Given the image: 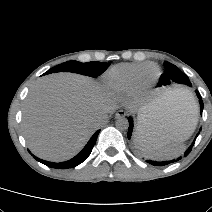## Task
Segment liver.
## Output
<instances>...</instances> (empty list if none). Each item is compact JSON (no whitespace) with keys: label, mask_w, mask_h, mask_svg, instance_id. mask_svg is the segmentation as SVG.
<instances>
[{"label":"liver","mask_w":212,"mask_h":212,"mask_svg":"<svg viewBox=\"0 0 212 212\" xmlns=\"http://www.w3.org/2000/svg\"><path fill=\"white\" fill-rule=\"evenodd\" d=\"M168 91L149 103L152 115L145 128L163 135L177 133L186 139L197 124V111L187 110L169 97ZM115 107V98L92 79L51 74L39 79L25 100L23 135L38 157L65 161L75 156L98 128L95 120L107 117Z\"/></svg>","instance_id":"obj_1"}]
</instances>
